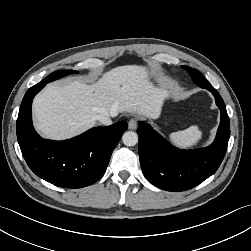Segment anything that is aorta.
Returning <instances> with one entry per match:
<instances>
[{
  "label": "aorta",
  "mask_w": 251,
  "mask_h": 251,
  "mask_svg": "<svg viewBox=\"0 0 251 251\" xmlns=\"http://www.w3.org/2000/svg\"><path fill=\"white\" fill-rule=\"evenodd\" d=\"M122 141L126 146H135L138 143V135L133 131H127L123 134Z\"/></svg>",
  "instance_id": "762f6f07"
}]
</instances>
